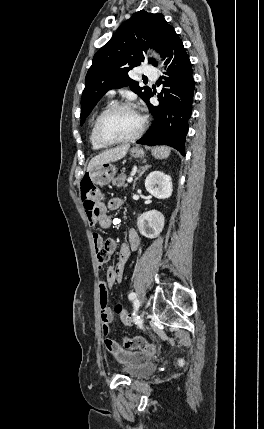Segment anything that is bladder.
<instances>
[{
	"mask_svg": "<svg viewBox=\"0 0 264 429\" xmlns=\"http://www.w3.org/2000/svg\"><path fill=\"white\" fill-rule=\"evenodd\" d=\"M155 371V363L147 360L141 363L126 366L123 369V374L132 379H141L152 375Z\"/></svg>",
	"mask_w": 264,
	"mask_h": 429,
	"instance_id": "1",
	"label": "bladder"
}]
</instances>
